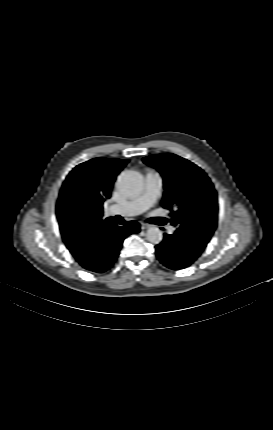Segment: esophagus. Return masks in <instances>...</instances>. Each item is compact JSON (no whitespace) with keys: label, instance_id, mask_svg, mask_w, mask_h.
Instances as JSON below:
<instances>
[{"label":"esophagus","instance_id":"esophagus-1","mask_svg":"<svg viewBox=\"0 0 273 430\" xmlns=\"http://www.w3.org/2000/svg\"><path fill=\"white\" fill-rule=\"evenodd\" d=\"M150 227V225L148 224V223H144V222H142L141 223V229H148Z\"/></svg>","mask_w":273,"mask_h":430}]
</instances>
